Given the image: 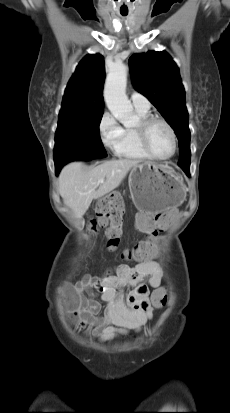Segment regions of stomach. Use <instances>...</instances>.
I'll return each instance as SVG.
<instances>
[{"label":"stomach","mask_w":230,"mask_h":413,"mask_svg":"<svg viewBox=\"0 0 230 413\" xmlns=\"http://www.w3.org/2000/svg\"><path fill=\"white\" fill-rule=\"evenodd\" d=\"M129 188L136 208L152 215L164 214L170 205L179 206L186 197L182 178L167 166L151 162L132 168Z\"/></svg>","instance_id":"1"}]
</instances>
